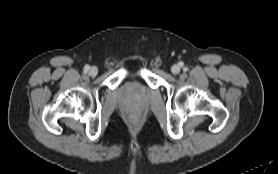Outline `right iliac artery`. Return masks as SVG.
Returning a JSON list of instances; mask_svg holds the SVG:
<instances>
[{
  "instance_id": "obj_1",
  "label": "right iliac artery",
  "mask_w": 278,
  "mask_h": 174,
  "mask_svg": "<svg viewBox=\"0 0 278 174\" xmlns=\"http://www.w3.org/2000/svg\"><path fill=\"white\" fill-rule=\"evenodd\" d=\"M89 69H90V66H89V65H85V66H84V71H85V72H87Z\"/></svg>"
}]
</instances>
